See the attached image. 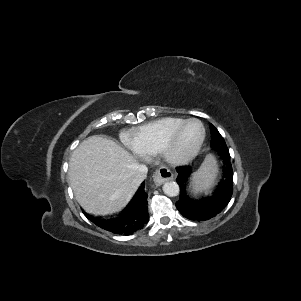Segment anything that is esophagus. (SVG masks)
<instances>
[{"label": "esophagus", "mask_w": 301, "mask_h": 301, "mask_svg": "<svg viewBox=\"0 0 301 301\" xmlns=\"http://www.w3.org/2000/svg\"><path fill=\"white\" fill-rule=\"evenodd\" d=\"M171 179H173V173L165 166L160 167L153 175L154 183L157 186Z\"/></svg>", "instance_id": "34e87169"}]
</instances>
